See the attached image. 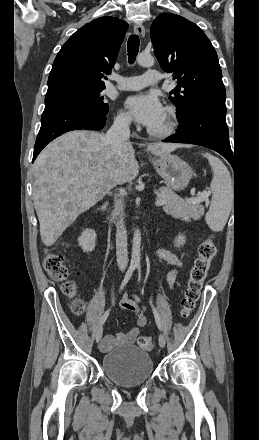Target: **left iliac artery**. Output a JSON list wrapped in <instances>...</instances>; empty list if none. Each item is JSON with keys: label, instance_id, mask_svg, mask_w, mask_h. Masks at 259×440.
<instances>
[{"label": "left iliac artery", "instance_id": "1", "mask_svg": "<svg viewBox=\"0 0 259 440\" xmlns=\"http://www.w3.org/2000/svg\"><path fill=\"white\" fill-rule=\"evenodd\" d=\"M137 268H138L139 274L141 275V273H140L141 272L140 266L137 265ZM151 307H152V310H153V313H154V317H155V321L157 323V326L161 330L162 329V324H161L160 317H159V315L157 313V310L155 309V307L153 306L152 303H151Z\"/></svg>", "mask_w": 259, "mask_h": 440}]
</instances>
